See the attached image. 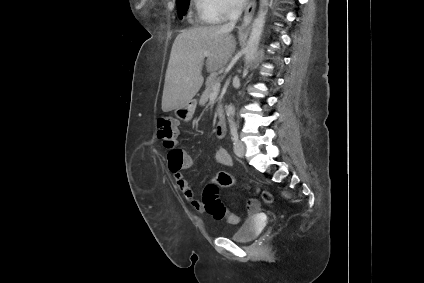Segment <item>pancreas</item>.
Wrapping results in <instances>:
<instances>
[{"label":"pancreas","instance_id":"pancreas-1","mask_svg":"<svg viewBox=\"0 0 424 283\" xmlns=\"http://www.w3.org/2000/svg\"><path fill=\"white\" fill-rule=\"evenodd\" d=\"M218 82H220V79L215 77V76H211V77L208 78L206 89L203 92L201 99H200V102L202 104L205 103L209 99V97L212 93L213 86Z\"/></svg>","mask_w":424,"mask_h":283}]
</instances>
